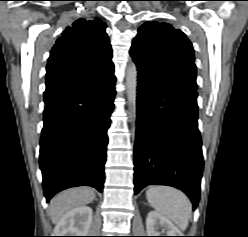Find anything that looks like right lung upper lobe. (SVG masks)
Wrapping results in <instances>:
<instances>
[{"label":"right lung upper lobe","mask_w":248,"mask_h":237,"mask_svg":"<svg viewBox=\"0 0 248 237\" xmlns=\"http://www.w3.org/2000/svg\"><path fill=\"white\" fill-rule=\"evenodd\" d=\"M105 28L98 18H80L62 32L46 67V90L85 82L114 68Z\"/></svg>","instance_id":"obj_1"}]
</instances>
